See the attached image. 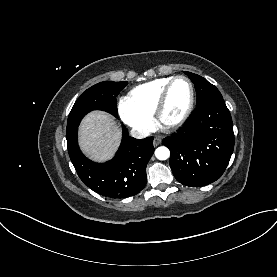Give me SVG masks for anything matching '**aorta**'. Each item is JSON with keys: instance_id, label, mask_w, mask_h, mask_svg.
<instances>
[{"instance_id": "obj_1", "label": "aorta", "mask_w": 277, "mask_h": 277, "mask_svg": "<svg viewBox=\"0 0 277 277\" xmlns=\"http://www.w3.org/2000/svg\"><path fill=\"white\" fill-rule=\"evenodd\" d=\"M155 156L159 160H166L170 156V151L167 147L161 146L155 150Z\"/></svg>"}]
</instances>
